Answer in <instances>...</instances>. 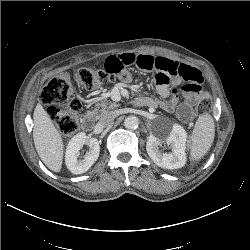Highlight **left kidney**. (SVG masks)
<instances>
[{
    "mask_svg": "<svg viewBox=\"0 0 250 250\" xmlns=\"http://www.w3.org/2000/svg\"><path fill=\"white\" fill-rule=\"evenodd\" d=\"M187 133L179 124H173L170 133L165 138L150 136L146 150L153 162L164 169H178L186 164ZM165 143L171 152L165 153L161 147Z\"/></svg>",
    "mask_w": 250,
    "mask_h": 250,
    "instance_id": "5707ae66",
    "label": "left kidney"
}]
</instances>
